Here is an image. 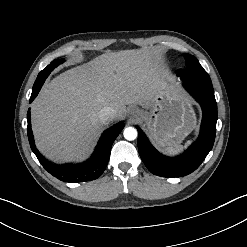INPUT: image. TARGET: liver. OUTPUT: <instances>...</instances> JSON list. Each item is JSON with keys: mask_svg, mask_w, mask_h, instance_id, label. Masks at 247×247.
Returning a JSON list of instances; mask_svg holds the SVG:
<instances>
[{"mask_svg": "<svg viewBox=\"0 0 247 247\" xmlns=\"http://www.w3.org/2000/svg\"><path fill=\"white\" fill-rule=\"evenodd\" d=\"M172 78L152 50L104 53L67 70L45 85L31 105V121L38 149L50 160L86 158L103 124L104 107L124 117L126 105L148 108Z\"/></svg>", "mask_w": 247, "mask_h": 247, "instance_id": "6515ba94", "label": "liver"}]
</instances>
